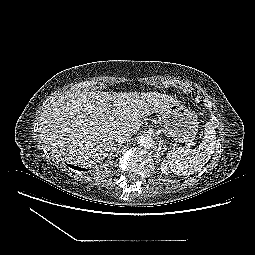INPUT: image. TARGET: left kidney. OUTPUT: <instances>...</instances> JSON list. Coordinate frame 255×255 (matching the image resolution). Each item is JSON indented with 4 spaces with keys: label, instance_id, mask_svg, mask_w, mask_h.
<instances>
[{
    "label": "left kidney",
    "instance_id": "left-kidney-1",
    "mask_svg": "<svg viewBox=\"0 0 255 255\" xmlns=\"http://www.w3.org/2000/svg\"><path fill=\"white\" fill-rule=\"evenodd\" d=\"M160 169H161L162 173H164V174H166V175H168V174L170 173L169 168H168V164L166 163L165 160H163V161L161 162Z\"/></svg>",
    "mask_w": 255,
    "mask_h": 255
}]
</instances>
